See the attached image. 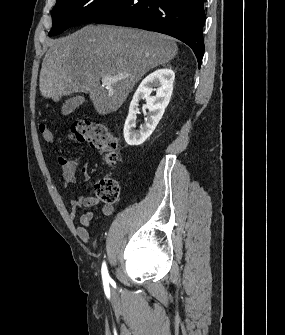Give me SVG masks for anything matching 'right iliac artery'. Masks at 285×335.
Masks as SVG:
<instances>
[{"mask_svg":"<svg viewBox=\"0 0 285 335\" xmlns=\"http://www.w3.org/2000/svg\"><path fill=\"white\" fill-rule=\"evenodd\" d=\"M102 279H103V282H108L110 280V276L108 274V270H107L105 262L102 264Z\"/></svg>","mask_w":285,"mask_h":335,"instance_id":"right-iliac-artery-1","label":"right iliac artery"}]
</instances>
